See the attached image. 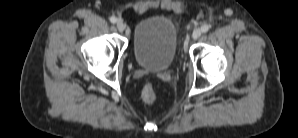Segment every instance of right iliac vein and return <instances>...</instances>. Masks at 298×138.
<instances>
[{"mask_svg":"<svg viewBox=\"0 0 298 138\" xmlns=\"http://www.w3.org/2000/svg\"><path fill=\"white\" fill-rule=\"evenodd\" d=\"M116 27L119 32H123L125 30V24L122 21H118L116 23Z\"/></svg>","mask_w":298,"mask_h":138,"instance_id":"63e3f726","label":"right iliac vein"}]
</instances>
